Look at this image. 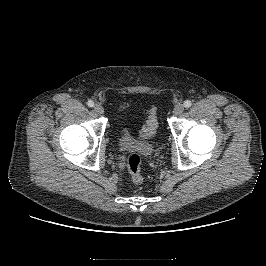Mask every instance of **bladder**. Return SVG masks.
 I'll list each match as a JSON object with an SVG mask.
<instances>
[{"mask_svg": "<svg viewBox=\"0 0 266 266\" xmlns=\"http://www.w3.org/2000/svg\"><path fill=\"white\" fill-rule=\"evenodd\" d=\"M117 145L125 153L143 156H150L153 153V147L150 143L137 140L123 123L119 125Z\"/></svg>", "mask_w": 266, "mask_h": 266, "instance_id": "31cf9c89", "label": "bladder"}]
</instances>
